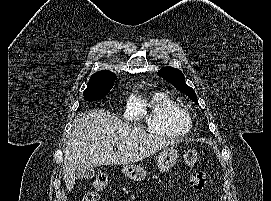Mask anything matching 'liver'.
Here are the masks:
<instances>
[{
    "label": "liver",
    "instance_id": "1",
    "mask_svg": "<svg viewBox=\"0 0 271 201\" xmlns=\"http://www.w3.org/2000/svg\"><path fill=\"white\" fill-rule=\"evenodd\" d=\"M175 142L123 122L108 111L93 110L76 117L66 142L63 176L70 192L75 170L84 165H128L148 158ZM117 146V152L113 147Z\"/></svg>",
    "mask_w": 271,
    "mask_h": 201
}]
</instances>
